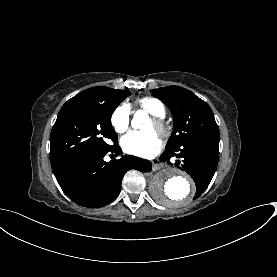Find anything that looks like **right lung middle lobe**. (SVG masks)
Segmentation results:
<instances>
[{"instance_id":"dd1d6c3e","label":"right lung middle lobe","mask_w":277,"mask_h":277,"mask_svg":"<svg viewBox=\"0 0 277 277\" xmlns=\"http://www.w3.org/2000/svg\"><path fill=\"white\" fill-rule=\"evenodd\" d=\"M130 94L127 90H114L110 97L102 98L79 93L68 100L51 131V163L73 154L109 149L108 139L116 145L118 137L111 115Z\"/></svg>"}]
</instances>
